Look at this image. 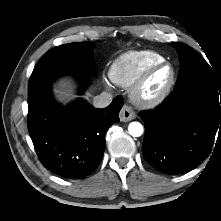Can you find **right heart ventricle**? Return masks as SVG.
Here are the masks:
<instances>
[{
    "label": "right heart ventricle",
    "instance_id": "1",
    "mask_svg": "<svg viewBox=\"0 0 221 221\" xmlns=\"http://www.w3.org/2000/svg\"><path fill=\"white\" fill-rule=\"evenodd\" d=\"M165 60L161 54L151 51H129L120 55L111 65L110 79L119 86L131 87L151 65Z\"/></svg>",
    "mask_w": 221,
    "mask_h": 221
}]
</instances>
